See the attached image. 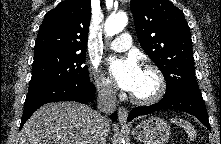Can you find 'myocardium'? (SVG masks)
<instances>
[{
  "mask_svg": "<svg viewBox=\"0 0 221 144\" xmlns=\"http://www.w3.org/2000/svg\"><path fill=\"white\" fill-rule=\"evenodd\" d=\"M143 70L151 72L156 77L157 88L155 92L148 97H138L131 94V100L138 105H151L158 102L165 94L166 91V80L162 71L153 64H146Z\"/></svg>",
  "mask_w": 221,
  "mask_h": 144,
  "instance_id": "f54148a6",
  "label": "myocardium"
}]
</instances>
